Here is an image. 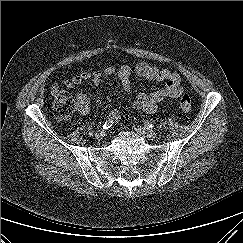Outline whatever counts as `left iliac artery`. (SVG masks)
<instances>
[{"label":"left iliac artery","instance_id":"obj_1","mask_svg":"<svg viewBox=\"0 0 243 243\" xmlns=\"http://www.w3.org/2000/svg\"><path fill=\"white\" fill-rule=\"evenodd\" d=\"M144 122V125L147 127V128H153V124H152V122H150V121H148V120H146V121H143Z\"/></svg>","mask_w":243,"mask_h":243}]
</instances>
